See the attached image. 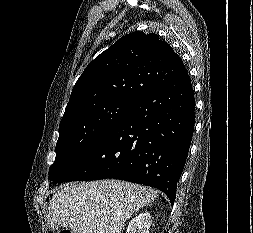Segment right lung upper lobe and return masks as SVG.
<instances>
[{
	"instance_id": "1",
	"label": "right lung upper lobe",
	"mask_w": 253,
	"mask_h": 233,
	"mask_svg": "<svg viewBox=\"0 0 253 233\" xmlns=\"http://www.w3.org/2000/svg\"><path fill=\"white\" fill-rule=\"evenodd\" d=\"M182 68L181 58L157 34H127L86 67L73 87L63 116L108 99L136 100Z\"/></svg>"
}]
</instances>
